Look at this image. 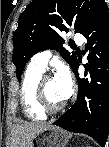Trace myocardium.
Segmentation results:
<instances>
[{"instance_id": "1", "label": "myocardium", "mask_w": 109, "mask_h": 147, "mask_svg": "<svg viewBox=\"0 0 109 147\" xmlns=\"http://www.w3.org/2000/svg\"><path fill=\"white\" fill-rule=\"evenodd\" d=\"M51 78L52 77L49 75H44L40 78L36 88V102L42 111L54 114L60 112L64 108L65 102L63 101L58 105H52L48 100L45 93V83Z\"/></svg>"}]
</instances>
